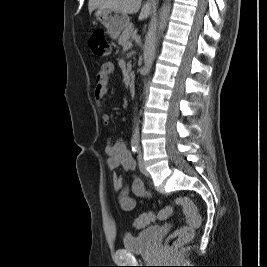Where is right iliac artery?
Returning a JSON list of instances; mask_svg holds the SVG:
<instances>
[{
    "label": "right iliac artery",
    "instance_id": "82829eb1",
    "mask_svg": "<svg viewBox=\"0 0 267 267\" xmlns=\"http://www.w3.org/2000/svg\"><path fill=\"white\" fill-rule=\"evenodd\" d=\"M131 149H132L133 153H136L138 151V141L137 140H133L131 142Z\"/></svg>",
    "mask_w": 267,
    "mask_h": 267
}]
</instances>
